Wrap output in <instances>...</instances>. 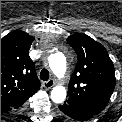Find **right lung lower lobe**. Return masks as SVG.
Segmentation results:
<instances>
[{
    "label": "right lung lower lobe",
    "instance_id": "obj_1",
    "mask_svg": "<svg viewBox=\"0 0 122 122\" xmlns=\"http://www.w3.org/2000/svg\"><path fill=\"white\" fill-rule=\"evenodd\" d=\"M14 108H6L1 110V114H9L10 112H14Z\"/></svg>",
    "mask_w": 122,
    "mask_h": 122
}]
</instances>
